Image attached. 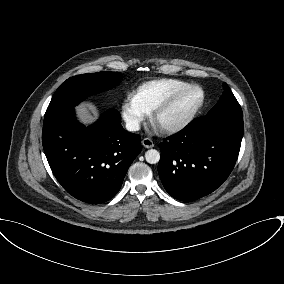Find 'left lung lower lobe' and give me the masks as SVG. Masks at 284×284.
Returning a JSON list of instances; mask_svg holds the SVG:
<instances>
[{"instance_id": "left-lung-lower-lobe-1", "label": "left lung lower lobe", "mask_w": 284, "mask_h": 284, "mask_svg": "<svg viewBox=\"0 0 284 284\" xmlns=\"http://www.w3.org/2000/svg\"><path fill=\"white\" fill-rule=\"evenodd\" d=\"M243 130V114L215 113L164 139L158 172L165 190L181 201L216 190L234 168Z\"/></svg>"}]
</instances>
